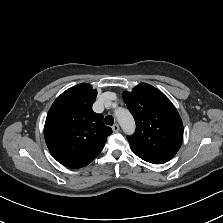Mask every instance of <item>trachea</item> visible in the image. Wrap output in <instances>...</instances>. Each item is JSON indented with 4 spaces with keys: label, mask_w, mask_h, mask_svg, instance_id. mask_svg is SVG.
Returning <instances> with one entry per match:
<instances>
[{
    "label": "trachea",
    "mask_w": 223,
    "mask_h": 223,
    "mask_svg": "<svg viewBox=\"0 0 223 223\" xmlns=\"http://www.w3.org/2000/svg\"><path fill=\"white\" fill-rule=\"evenodd\" d=\"M105 123L107 124V125H113L114 124V118L112 117V116H106L105 117Z\"/></svg>",
    "instance_id": "1"
}]
</instances>
